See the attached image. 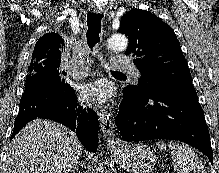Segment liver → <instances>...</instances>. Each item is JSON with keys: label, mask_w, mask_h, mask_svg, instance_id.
<instances>
[{"label": "liver", "mask_w": 219, "mask_h": 173, "mask_svg": "<svg viewBox=\"0 0 219 173\" xmlns=\"http://www.w3.org/2000/svg\"><path fill=\"white\" fill-rule=\"evenodd\" d=\"M82 148L76 134L62 124L35 119L9 144L4 173H69Z\"/></svg>", "instance_id": "liver-1"}]
</instances>
